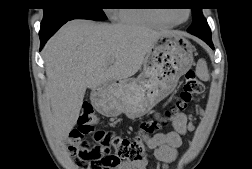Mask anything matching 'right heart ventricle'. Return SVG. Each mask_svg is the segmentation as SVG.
<instances>
[{"label":"right heart ventricle","mask_w":252,"mask_h":169,"mask_svg":"<svg viewBox=\"0 0 252 169\" xmlns=\"http://www.w3.org/2000/svg\"><path fill=\"white\" fill-rule=\"evenodd\" d=\"M113 14L117 21L122 24L155 28H168L171 26V24L156 18L143 9L119 8L116 9Z\"/></svg>","instance_id":"right-heart-ventricle-1"}]
</instances>
